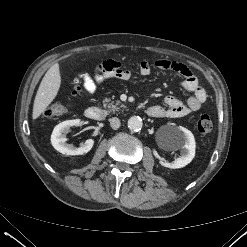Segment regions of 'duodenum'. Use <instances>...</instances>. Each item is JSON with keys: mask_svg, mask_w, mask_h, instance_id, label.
Listing matches in <instances>:
<instances>
[{"mask_svg": "<svg viewBox=\"0 0 247 247\" xmlns=\"http://www.w3.org/2000/svg\"><path fill=\"white\" fill-rule=\"evenodd\" d=\"M147 111H149V110H147ZM84 114L88 119H91L94 121H101L105 118V114H104L103 110H101L98 107H88L85 110Z\"/></svg>", "mask_w": 247, "mask_h": 247, "instance_id": "duodenum-1", "label": "duodenum"}]
</instances>
